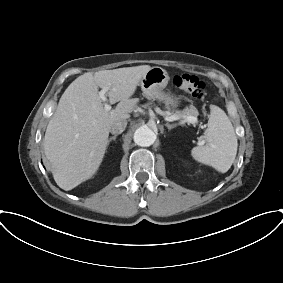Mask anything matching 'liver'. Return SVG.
<instances>
[{"label":"liver","mask_w":283,"mask_h":283,"mask_svg":"<svg viewBox=\"0 0 283 283\" xmlns=\"http://www.w3.org/2000/svg\"><path fill=\"white\" fill-rule=\"evenodd\" d=\"M149 65L87 72L61 96L44 137V153L57 185L71 190L90 179L102 163L113 123L130 118L139 100L131 98ZM109 86L105 110L98 89Z\"/></svg>","instance_id":"obj_1"}]
</instances>
